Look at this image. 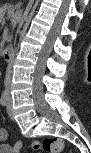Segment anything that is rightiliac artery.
Masks as SVG:
<instances>
[{"instance_id":"82829eb1","label":"right iliac artery","mask_w":91,"mask_h":153,"mask_svg":"<svg viewBox=\"0 0 91 153\" xmlns=\"http://www.w3.org/2000/svg\"><path fill=\"white\" fill-rule=\"evenodd\" d=\"M0 104L2 106H5L7 104V95H6V90L3 91L1 99H0Z\"/></svg>"}]
</instances>
